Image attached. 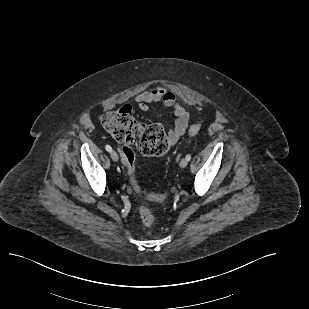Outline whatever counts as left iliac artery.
Masks as SVG:
<instances>
[{"mask_svg":"<svg viewBox=\"0 0 309 309\" xmlns=\"http://www.w3.org/2000/svg\"><path fill=\"white\" fill-rule=\"evenodd\" d=\"M186 159H187V161H190L191 160V155L190 154L186 155Z\"/></svg>","mask_w":309,"mask_h":309,"instance_id":"obj_1","label":"left iliac artery"}]
</instances>
